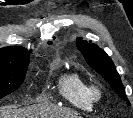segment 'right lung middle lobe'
<instances>
[{"mask_svg":"<svg viewBox=\"0 0 133 118\" xmlns=\"http://www.w3.org/2000/svg\"><path fill=\"white\" fill-rule=\"evenodd\" d=\"M28 64L14 68H0V99L17 90L24 81Z\"/></svg>","mask_w":133,"mask_h":118,"instance_id":"dd1d6c3e","label":"right lung middle lobe"}]
</instances>
